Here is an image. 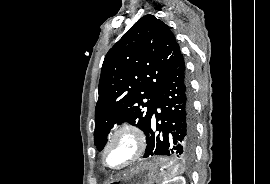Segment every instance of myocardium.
<instances>
[{"label":"myocardium","instance_id":"obj_1","mask_svg":"<svg viewBox=\"0 0 270 184\" xmlns=\"http://www.w3.org/2000/svg\"><path fill=\"white\" fill-rule=\"evenodd\" d=\"M123 134L129 135L133 139L134 152L131 155V157L123 164L116 167L109 166L106 161L107 152L114 144V142L117 140V138ZM145 148H146V138L142 129L134 123L125 122L111 134L107 143L105 144L101 155L102 164L110 170L114 171L123 170L134 164L136 161H138L140 157L143 155Z\"/></svg>","mask_w":270,"mask_h":184}]
</instances>
